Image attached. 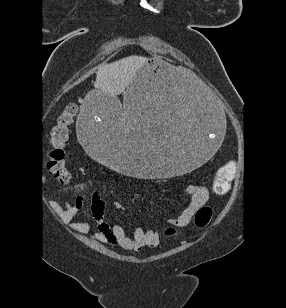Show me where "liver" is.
Masks as SVG:
<instances>
[{
	"label": "liver",
	"instance_id": "1",
	"mask_svg": "<svg viewBox=\"0 0 286 308\" xmlns=\"http://www.w3.org/2000/svg\"><path fill=\"white\" fill-rule=\"evenodd\" d=\"M146 61L147 58L142 56H129L113 63L102 64L96 72L94 87L101 93L116 98L125 91ZM125 115L122 123L125 122Z\"/></svg>",
	"mask_w": 286,
	"mask_h": 308
}]
</instances>
